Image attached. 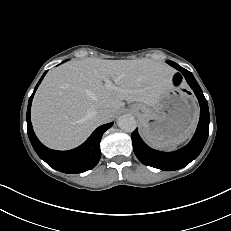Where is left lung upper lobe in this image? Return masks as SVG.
I'll return each instance as SVG.
<instances>
[{"label":"left lung upper lobe","mask_w":231,"mask_h":231,"mask_svg":"<svg viewBox=\"0 0 231 231\" xmlns=\"http://www.w3.org/2000/svg\"><path fill=\"white\" fill-rule=\"evenodd\" d=\"M171 66L175 67L176 69H179V65H177L176 63L172 62V61H167Z\"/></svg>","instance_id":"obj_1"}]
</instances>
